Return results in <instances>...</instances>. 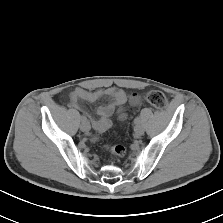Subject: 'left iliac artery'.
I'll list each match as a JSON object with an SVG mask.
<instances>
[{
	"label": "left iliac artery",
	"mask_w": 223,
	"mask_h": 223,
	"mask_svg": "<svg viewBox=\"0 0 223 223\" xmlns=\"http://www.w3.org/2000/svg\"><path fill=\"white\" fill-rule=\"evenodd\" d=\"M140 122H141L140 117H136V118L134 119V123H135V124H140Z\"/></svg>",
	"instance_id": "left-iliac-artery-1"
}]
</instances>
